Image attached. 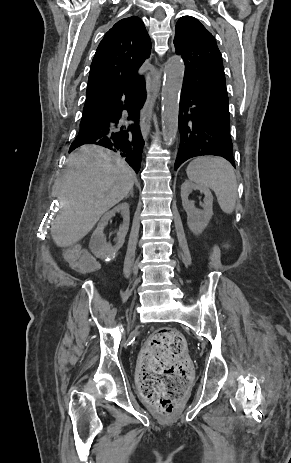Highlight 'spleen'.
<instances>
[{"instance_id":"obj_1","label":"spleen","mask_w":291,"mask_h":463,"mask_svg":"<svg viewBox=\"0 0 291 463\" xmlns=\"http://www.w3.org/2000/svg\"><path fill=\"white\" fill-rule=\"evenodd\" d=\"M186 173L190 181L215 192L224 213H233L237 200V180L228 161L217 157H199L189 163Z\"/></svg>"}]
</instances>
